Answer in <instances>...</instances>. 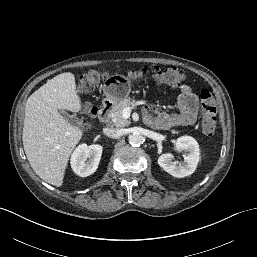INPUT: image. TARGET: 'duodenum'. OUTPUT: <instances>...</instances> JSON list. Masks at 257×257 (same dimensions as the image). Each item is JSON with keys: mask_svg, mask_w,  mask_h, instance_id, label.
<instances>
[{"mask_svg": "<svg viewBox=\"0 0 257 257\" xmlns=\"http://www.w3.org/2000/svg\"><path fill=\"white\" fill-rule=\"evenodd\" d=\"M112 111V104L110 102H106L101 109L99 110V119L103 122L106 123L108 122L110 118V114Z\"/></svg>", "mask_w": 257, "mask_h": 257, "instance_id": "duodenum-1", "label": "duodenum"}]
</instances>
